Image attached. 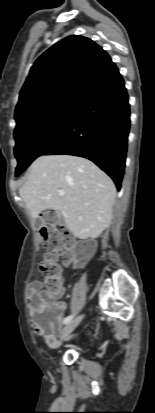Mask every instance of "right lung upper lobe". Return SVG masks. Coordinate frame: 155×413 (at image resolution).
<instances>
[{
  "instance_id": "cb5924a9",
  "label": "right lung upper lobe",
  "mask_w": 155,
  "mask_h": 413,
  "mask_svg": "<svg viewBox=\"0 0 155 413\" xmlns=\"http://www.w3.org/2000/svg\"><path fill=\"white\" fill-rule=\"evenodd\" d=\"M118 72L110 56L91 39L78 35L62 39L33 64L16 106V128L61 105L77 104Z\"/></svg>"
}]
</instances>
